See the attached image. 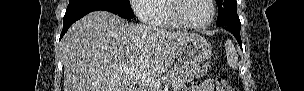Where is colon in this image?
<instances>
[{
  "mask_svg": "<svg viewBox=\"0 0 304 91\" xmlns=\"http://www.w3.org/2000/svg\"><path fill=\"white\" fill-rule=\"evenodd\" d=\"M217 91H234V88L224 79L218 78L216 80Z\"/></svg>",
  "mask_w": 304,
  "mask_h": 91,
  "instance_id": "1",
  "label": "colon"
}]
</instances>
